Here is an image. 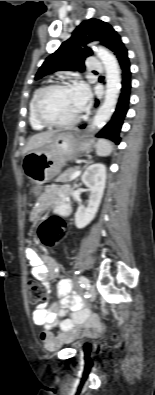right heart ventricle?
Here are the masks:
<instances>
[{"instance_id": "1", "label": "right heart ventricle", "mask_w": 155, "mask_h": 395, "mask_svg": "<svg viewBox=\"0 0 155 395\" xmlns=\"http://www.w3.org/2000/svg\"><path fill=\"white\" fill-rule=\"evenodd\" d=\"M40 89H41V88H38V89L34 92L32 98H31V100H30V102H29V123H30L31 127H32L34 130H42V129H44V127H45V126L41 125V124L36 120V118H35V116H34V113H33V102H34V99H35L36 94L38 93V91H39Z\"/></svg>"}]
</instances>
